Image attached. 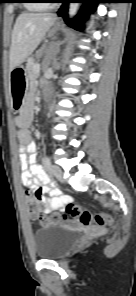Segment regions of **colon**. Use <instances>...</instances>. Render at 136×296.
Returning a JSON list of instances; mask_svg holds the SVG:
<instances>
[{"instance_id": "colon-1", "label": "colon", "mask_w": 136, "mask_h": 296, "mask_svg": "<svg viewBox=\"0 0 136 296\" xmlns=\"http://www.w3.org/2000/svg\"><path fill=\"white\" fill-rule=\"evenodd\" d=\"M26 207L30 215L37 219L41 225H52L61 222L65 218H72L79 221L83 225H95L100 228H108L113 226V219L109 214L98 213L93 214L81 204L69 202L65 212L60 214H52L43 216L41 212L40 192H35L29 196L26 201Z\"/></svg>"}]
</instances>
